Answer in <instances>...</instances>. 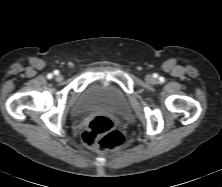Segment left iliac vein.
Returning <instances> with one entry per match:
<instances>
[{
    "label": "left iliac vein",
    "instance_id": "obj_1",
    "mask_svg": "<svg viewBox=\"0 0 222 187\" xmlns=\"http://www.w3.org/2000/svg\"><path fill=\"white\" fill-rule=\"evenodd\" d=\"M146 81H147L148 83H153V82H154L153 76H152V75H147V76H146Z\"/></svg>",
    "mask_w": 222,
    "mask_h": 187
}]
</instances>
